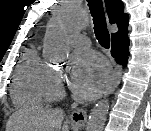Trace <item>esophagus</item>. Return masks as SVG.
<instances>
[{
    "label": "esophagus",
    "instance_id": "1",
    "mask_svg": "<svg viewBox=\"0 0 151 131\" xmlns=\"http://www.w3.org/2000/svg\"><path fill=\"white\" fill-rule=\"evenodd\" d=\"M122 74V67L117 65L114 70V76L112 82L110 83L109 87L105 91L104 95L108 96L112 94L117 86L120 83ZM71 121L78 126H83L87 121V112L84 109H77L71 114Z\"/></svg>",
    "mask_w": 151,
    "mask_h": 131
}]
</instances>
